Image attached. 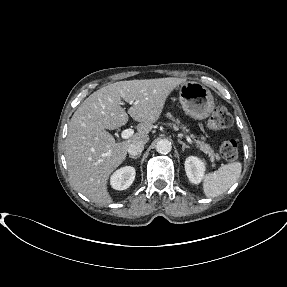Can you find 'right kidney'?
Here are the masks:
<instances>
[{
	"instance_id": "1",
	"label": "right kidney",
	"mask_w": 287,
	"mask_h": 287,
	"mask_svg": "<svg viewBox=\"0 0 287 287\" xmlns=\"http://www.w3.org/2000/svg\"><path fill=\"white\" fill-rule=\"evenodd\" d=\"M135 174L134 167H122L111 176L110 184L115 190H125L133 183Z\"/></svg>"
}]
</instances>
